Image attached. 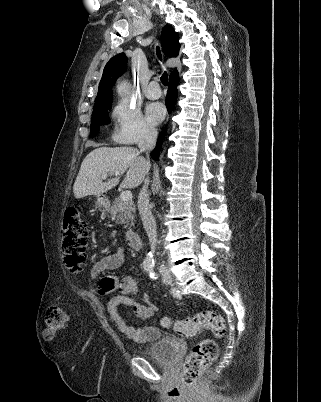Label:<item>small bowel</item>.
I'll list each match as a JSON object with an SVG mask.
<instances>
[{
    "label": "small bowel",
    "mask_w": 321,
    "mask_h": 402,
    "mask_svg": "<svg viewBox=\"0 0 321 402\" xmlns=\"http://www.w3.org/2000/svg\"><path fill=\"white\" fill-rule=\"evenodd\" d=\"M124 260V251L118 249L112 254L105 255L97 260L92 266V275L98 276L105 272L119 268ZM114 291H119L117 298L107 300V311L110 319L117 325L118 329L129 339L137 343L152 342L157 339L158 328L154 326L138 327L130 324L123 317L118 307H126V317L136 315L142 319L152 317L157 310L152 303H142L138 300V285L133 277L126 276L121 280L106 278L101 280L99 292L108 296Z\"/></svg>",
    "instance_id": "1"
}]
</instances>
